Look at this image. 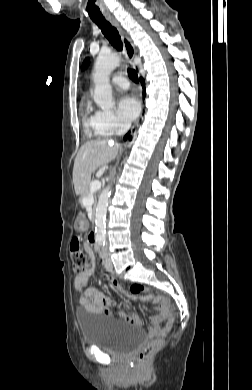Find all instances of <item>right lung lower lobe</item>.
<instances>
[{
  "mask_svg": "<svg viewBox=\"0 0 252 390\" xmlns=\"http://www.w3.org/2000/svg\"><path fill=\"white\" fill-rule=\"evenodd\" d=\"M140 81H141V84H142V87H143V97H145V83H144L143 78H140ZM126 139H129V140L132 139V137L130 136V133L126 134L125 140Z\"/></svg>",
  "mask_w": 252,
  "mask_h": 390,
  "instance_id": "right-lung-lower-lobe-1",
  "label": "right lung lower lobe"
}]
</instances>
